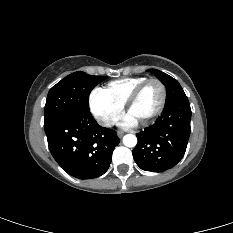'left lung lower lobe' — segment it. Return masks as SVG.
Listing matches in <instances>:
<instances>
[{
  "label": "left lung lower lobe",
  "instance_id": "obj_1",
  "mask_svg": "<svg viewBox=\"0 0 233 233\" xmlns=\"http://www.w3.org/2000/svg\"><path fill=\"white\" fill-rule=\"evenodd\" d=\"M191 108L186 95L165 105L154 125L137 135L132 154L137 165L150 172L174 167L184 156L190 136Z\"/></svg>",
  "mask_w": 233,
  "mask_h": 233
}]
</instances>
